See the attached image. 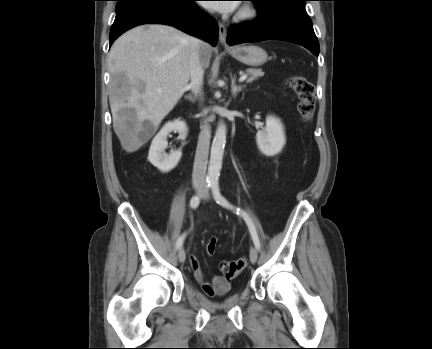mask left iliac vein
Segmentation results:
<instances>
[{"instance_id": "left-iliac-vein-1", "label": "left iliac vein", "mask_w": 432, "mask_h": 349, "mask_svg": "<svg viewBox=\"0 0 432 349\" xmlns=\"http://www.w3.org/2000/svg\"><path fill=\"white\" fill-rule=\"evenodd\" d=\"M203 198H204L205 200H207V199L209 198V194L206 192V193L204 194ZM257 259H258V251H257V249H256L255 247H251V248H250V261H251L252 263H256V262H257Z\"/></svg>"}]
</instances>
